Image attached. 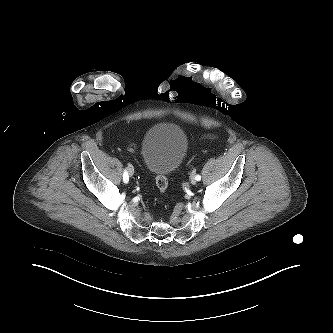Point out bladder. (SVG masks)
Segmentation results:
<instances>
[{"label": "bladder", "mask_w": 333, "mask_h": 333, "mask_svg": "<svg viewBox=\"0 0 333 333\" xmlns=\"http://www.w3.org/2000/svg\"><path fill=\"white\" fill-rule=\"evenodd\" d=\"M187 148V137L178 125L157 123L146 131L140 153L147 171L166 176L179 168Z\"/></svg>", "instance_id": "31cf9c89"}]
</instances>
